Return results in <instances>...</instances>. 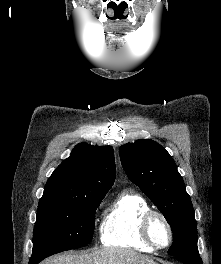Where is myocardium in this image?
I'll list each match as a JSON object with an SVG mask.
<instances>
[{
	"instance_id": "1",
	"label": "myocardium",
	"mask_w": 221,
	"mask_h": 264,
	"mask_svg": "<svg viewBox=\"0 0 221 264\" xmlns=\"http://www.w3.org/2000/svg\"><path fill=\"white\" fill-rule=\"evenodd\" d=\"M154 218H159L167 228L169 238L164 245L157 244L152 237L151 225ZM140 234L144 242L154 250H162L169 247L173 242L174 236L172 226L167 217L162 212L153 209H149L143 214L140 222Z\"/></svg>"
}]
</instances>
